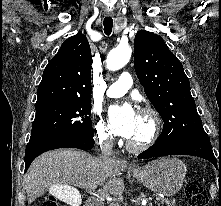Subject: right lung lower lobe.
I'll return each instance as SVG.
<instances>
[{
    "instance_id": "1",
    "label": "right lung lower lobe",
    "mask_w": 221,
    "mask_h": 206,
    "mask_svg": "<svg viewBox=\"0 0 221 206\" xmlns=\"http://www.w3.org/2000/svg\"><path fill=\"white\" fill-rule=\"evenodd\" d=\"M94 136H62L29 141L25 151V171L31 162L43 152L57 148H78L89 150L94 146Z\"/></svg>"
}]
</instances>
